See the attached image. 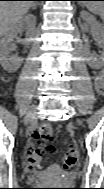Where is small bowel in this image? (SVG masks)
I'll list each match as a JSON object with an SVG mask.
<instances>
[{"label": "small bowel", "mask_w": 104, "mask_h": 189, "mask_svg": "<svg viewBox=\"0 0 104 189\" xmlns=\"http://www.w3.org/2000/svg\"><path fill=\"white\" fill-rule=\"evenodd\" d=\"M95 87L98 90H102L104 87V76L102 73H97L94 78Z\"/></svg>", "instance_id": "small-bowel-1"}]
</instances>
